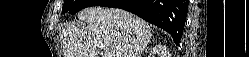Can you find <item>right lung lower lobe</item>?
<instances>
[{
	"label": "right lung lower lobe",
	"instance_id": "1",
	"mask_svg": "<svg viewBox=\"0 0 249 57\" xmlns=\"http://www.w3.org/2000/svg\"><path fill=\"white\" fill-rule=\"evenodd\" d=\"M188 0H106L98 6L122 8L171 34L178 45L186 21Z\"/></svg>",
	"mask_w": 249,
	"mask_h": 57
}]
</instances>
